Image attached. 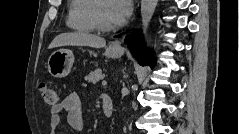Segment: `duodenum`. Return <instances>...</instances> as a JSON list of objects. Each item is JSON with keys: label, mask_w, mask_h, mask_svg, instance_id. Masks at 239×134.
I'll return each instance as SVG.
<instances>
[{"label": "duodenum", "mask_w": 239, "mask_h": 134, "mask_svg": "<svg viewBox=\"0 0 239 134\" xmlns=\"http://www.w3.org/2000/svg\"><path fill=\"white\" fill-rule=\"evenodd\" d=\"M102 109H103L104 115L107 118L112 117V115H113V101L107 95L102 96Z\"/></svg>", "instance_id": "410a0bca"}]
</instances>
